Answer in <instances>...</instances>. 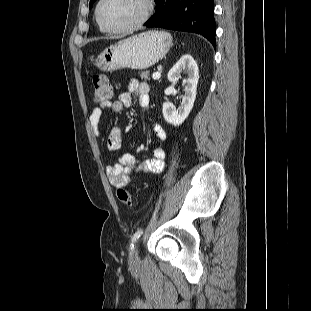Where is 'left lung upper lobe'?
I'll return each instance as SVG.
<instances>
[{"label": "left lung upper lobe", "mask_w": 311, "mask_h": 311, "mask_svg": "<svg viewBox=\"0 0 311 311\" xmlns=\"http://www.w3.org/2000/svg\"><path fill=\"white\" fill-rule=\"evenodd\" d=\"M96 0H90V8L92 7L93 3L95 2Z\"/></svg>", "instance_id": "obj_1"}]
</instances>
